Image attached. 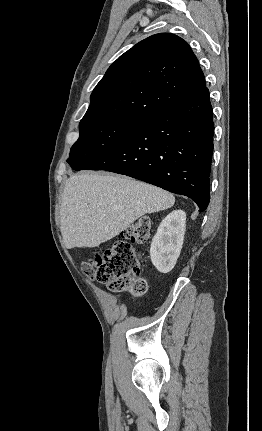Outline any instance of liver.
Segmentation results:
<instances>
[{"label": "liver", "instance_id": "1", "mask_svg": "<svg viewBox=\"0 0 262 431\" xmlns=\"http://www.w3.org/2000/svg\"><path fill=\"white\" fill-rule=\"evenodd\" d=\"M175 197L161 188L109 173L71 176L61 203V233L68 249L97 247L144 214L171 208Z\"/></svg>", "mask_w": 262, "mask_h": 431}]
</instances>
